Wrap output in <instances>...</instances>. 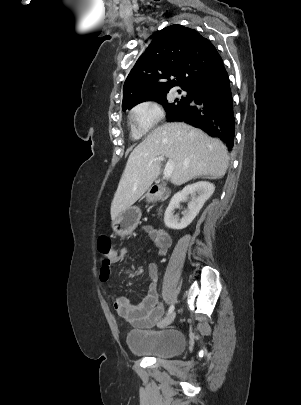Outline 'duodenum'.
Returning <instances> with one entry per match:
<instances>
[{
	"label": "duodenum",
	"mask_w": 301,
	"mask_h": 405,
	"mask_svg": "<svg viewBox=\"0 0 301 405\" xmlns=\"http://www.w3.org/2000/svg\"><path fill=\"white\" fill-rule=\"evenodd\" d=\"M169 190L161 186H153L150 190L146 192V197L148 198V204L150 206H157L162 200H166L169 197ZM159 238L161 244H167L170 238L166 232L159 230Z\"/></svg>",
	"instance_id": "1"
}]
</instances>
